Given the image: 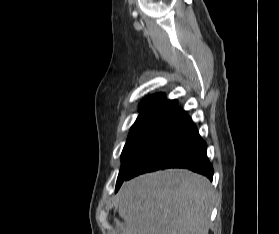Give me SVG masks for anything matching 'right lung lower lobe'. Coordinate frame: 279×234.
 Masks as SVG:
<instances>
[{
  "label": "right lung lower lobe",
  "instance_id": "1",
  "mask_svg": "<svg viewBox=\"0 0 279 234\" xmlns=\"http://www.w3.org/2000/svg\"><path fill=\"white\" fill-rule=\"evenodd\" d=\"M206 143L195 124L179 105L159 124L133 160L124 180L166 168H187L213 177Z\"/></svg>",
  "mask_w": 279,
  "mask_h": 234
}]
</instances>
